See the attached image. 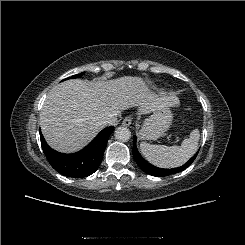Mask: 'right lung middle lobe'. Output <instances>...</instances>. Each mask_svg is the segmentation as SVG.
<instances>
[{"instance_id": "dd1d6c3e", "label": "right lung middle lobe", "mask_w": 245, "mask_h": 245, "mask_svg": "<svg viewBox=\"0 0 245 245\" xmlns=\"http://www.w3.org/2000/svg\"><path fill=\"white\" fill-rule=\"evenodd\" d=\"M83 74H84V72H82L81 74L75 75V76H73V77H70V78H78V77H81ZM68 79H69V78H68Z\"/></svg>"}]
</instances>
